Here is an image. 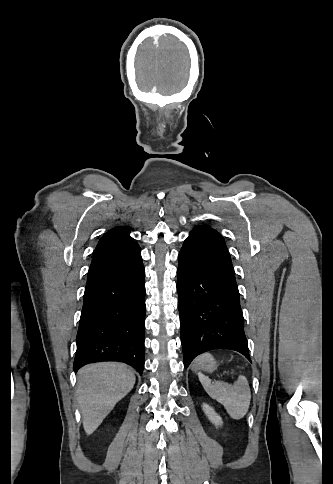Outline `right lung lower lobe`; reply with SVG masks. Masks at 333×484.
Returning a JSON list of instances; mask_svg holds the SVG:
<instances>
[{
    "instance_id": "right-lung-lower-lobe-1",
    "label": "right lung lower lobe",
    "mask_w": 333,
    "mask_h": 484,
    "mask_svg": "<svg viewBox=\"0 0 333 484\" xmlns=\"http://www.w3.org/2000/svg\"><path fill=\"white\" fill-rule=\"evenodd\" d=\"M145 270L139 245L93 256L77 333L74 371L88 362L144 367Z\"/></svg>"
}]
</instances>
